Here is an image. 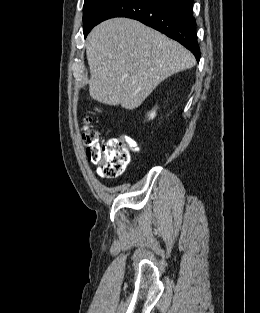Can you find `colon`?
Returning <instances> with one entry per match:
<instances>
[{
    "instance_id": "obj_1",
    "label": "colon",
    "mask_w": 260,
    "mask_h": 313,
    "mask_svg": "<svg viewBox=\"0 0 260 313\" xmlns=\"http://www.w3.org/2000/svg\"><path fill=\"white\" fill-rule=\"evenodd\" d=\"M91 118H85L82 140L89 161L97 165V173L103 178L120 176L130 162L131 144L125 135H115L100 142L98 134L90 128Z\"/></svg>"
}]
</instances>
